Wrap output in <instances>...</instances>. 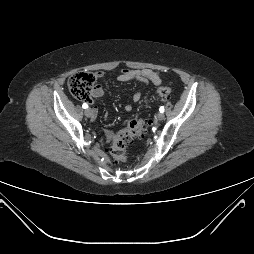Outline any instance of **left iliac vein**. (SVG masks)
Listing matches in <instances>:
<instances>
[{"instance_id":"left-iliac-vein-1","label":"left iliac vein","mask_w":254,"mask_h":254,"mask_svg":"<svg viewBox=\"0 0 254 254\" xmlns=\"http://www.w3.org/2000/svg\"><path fill=\"white\" fill-rule=\"evenodd\" d=\"M157 118H158V120L162 121V120H164L165 116L162 112H160V113H158Z\"/></svg>"}]
</instances>
